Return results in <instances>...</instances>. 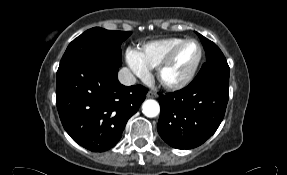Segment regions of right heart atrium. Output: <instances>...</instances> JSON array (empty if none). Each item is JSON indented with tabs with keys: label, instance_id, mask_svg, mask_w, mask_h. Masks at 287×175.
Here are the masks:
<instances>
[{
	"label": "right heart atrium",
	"instance_id": "right-heart-atrium-1",
	"mask_svg": "<svg viewBox=\"0 0 287 175\" xmlns=\"http://www.w3.org/2000/svg\"><path fill=\"white\" fill-rule=\"evenodd\" d=\"M125 60L134 75L143 80L149 78L150 70L142 63L136 50L127 49Z\"/></svg>",
	"mask_w": 287,
	"mask_h": 175
}]
</instances>
